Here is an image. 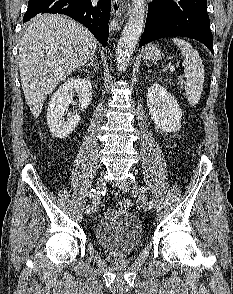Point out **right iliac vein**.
I'll use <instances>...</instances> for the list:
<instances>
[{
    "label": "right iliac vein",
    "mask_w": 233,
    "mask_h": 294,
    "mask_svg": "<svg viewBox=\"0 0 233 294\" xmlns=\"http://www.w3.org/2000/svg\"><path fill=\"white\" fill-rule=\"evenodd\" d=\"M105 186V182L103 180V178H99L97 183H96V195H95V198L93 200V203H92V209H91V213H94L97 209V206H98V203H99V197H100V193L101 191L103 190Z\"/></svg>",
    "instance_id": "1"
}]
</instances>
